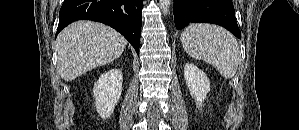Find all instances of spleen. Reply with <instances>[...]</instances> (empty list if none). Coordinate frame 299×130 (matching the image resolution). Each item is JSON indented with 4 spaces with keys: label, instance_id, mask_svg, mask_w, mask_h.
<instances>
[{
    "label": "spleen",
    "instance_id": "1",
    "mask_svg": "<svg viewBox=\"0 0 299 130\" xmlns=\"http://www.w3.org/2000/svg\"><path fill=\"white\" fill-rule=\"evenodd\" d=\"M188 55L216 67L225 79L237 72L241 53L235 37L220 26L205 23L190 24L180 36Z\"/></svg>",
    "mask_w": 299,
    "mask_h": 130
}]
</instances>
